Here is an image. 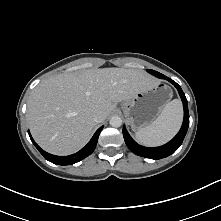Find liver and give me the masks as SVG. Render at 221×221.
Masks as SVG:
<instances>
[{"label": "liver", "mask_w": 221, "mask_h": 221, "mask_svg": "<svg viewBox=\"0 0 221 221\" xmlns=\"http://www.w3.org/2000/svg\"><path fill=\"white\" fill-rule=\"evenodd\" d=\"M157 83L145 71L124 68L88 69L45 79L28 100L31 134L49 153H75L90 140L97 124L95 114L104 121L118 102Z\"/></svg>", "instance_id": "liver-1"}]
</instances>
